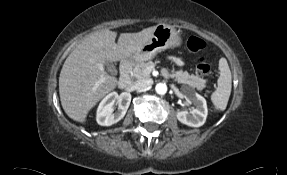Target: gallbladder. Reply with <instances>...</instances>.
Masks as SVG:
<instances>
[{
  "label": "gallbladder",
  "mask_w": 287,
  "mask_h": 175,
  "mask_svg": "<svg viewBox=\"0 0 287 175\" xmlns=\"http://www.w3.org/2000/svg\"><path fill=\"white\" fill-rule=\"evenodd\" d=\"M104 65H105L106 69H107L110 73H115V67H114V64H113L111 61L106 60V62H105Z\"/></svg>",
  "instance_id": "gallbladder-1"
}]
</instances>
